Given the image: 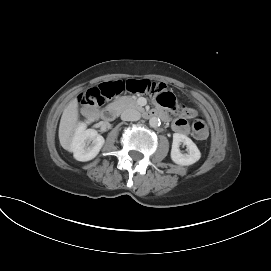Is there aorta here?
<instances>
[{
  "mask_svg": "<svg viewBox=\"0 0 271 271\" xmlns=\"http://www.w3.org/2000/svg\"><path fill=\"white\" fill-rule=\"evenodd\" d=\"M149 124H150L151 127L156 128V127L160 126L161 122H160L159 118L152 117L149 120Z\"/></svg>",
  "mask_w": 271,
  "mask_h": 271,
  "instance_id": "762f6f07",
  "label": "aorta"
}]
</instances>
